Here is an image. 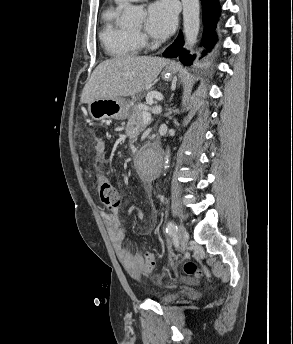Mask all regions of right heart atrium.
I'll return each instance as SVG.
<instances>
[{
    "label": "right heart atrium",
    "mask_w": 293,
    "mask_h": 344,
    "mask_svg": "<svg viewBox=\"0 0 293 344\" xmlns=\"http://www.w3.org/2000/svg\"><path fill=\"white\" fill-rule=\"evenodd\" d=\"M137 36H138V39H139L141 44H145L146 43V38L143 35L138 34Z\"/></svg>",
    "instance_id": "d8ad5b80"
}]
</instances>
